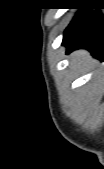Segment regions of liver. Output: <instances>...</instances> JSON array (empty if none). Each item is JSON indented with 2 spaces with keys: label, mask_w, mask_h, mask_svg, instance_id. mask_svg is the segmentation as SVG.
Instances as JSON below:
<instances>
[{
  "label": "liver",
  "mask_w": 104,
  "mask_h": 169,
  "mask_svg": "<svg viewBox=\"0 0 104 169\" xmlns=\"http://www.w3.org/2000/svg\"><path fill=\"white\" fill-rule=\"evenodd\" d=\"M72 62L77 66H85L89 69L95 65L94 61L90 57V54L84 50L73 53Z\"/></svg>",
  "instance_id": "1"
}]
</instances>
